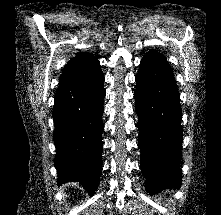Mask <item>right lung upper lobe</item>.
Masks as SVG:
<instances>
[{
  "label": "right lung upper lobe",
  "mask_w": 221,
  "mask_h": 215,
  "mask_svg": "<svg viewBox=\"0 0 221 215\" xmlns=\"http://www.w3.org/2000/svg\"><path fill=\"white\" fill-rule=\"evenodd\" d=\"M99 68V61L90 53H81L64 67L59 86L88 76Z\"/></svg>",
  "instance_id": "cb5924a9"
}]
</instances>
